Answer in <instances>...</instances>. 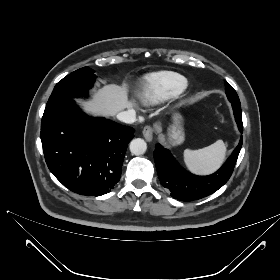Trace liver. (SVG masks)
<instances>
[{
    "label": "liver",
    "instance_id": "liver-1",
    "mask_svg": "<svg viewBox=\"0 0 280 280\" xmlns=\"http://www.w3.org/2000/svg\"><path fill=\"white\" fill-rule=\"evenodd\" d=\"M85 110L94 115L115 116L125 108H131L126 85L109 84L99 89L92 100L81 102Z\"/></svg>",
    "mask_w": 280,
    "mask_h": 280
}]
</instances>
